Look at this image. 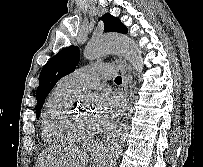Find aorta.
<instances>
[{
  "label": "aorta",
  "mask_w": 203,
  "mask_h": 167,
  "mask_svg": "<svg viewBox=\"0 0 203 167\" xmlns=\"http://www.w3.org/2000/svg\"><path fill=\"white\" fill-rule=\"evenodd\" d=\"M115 53L125 57L140 75L143 71L142 52L136 43L125 35L105 34L91 40L84 49V57L96 60L108 54ZM129 128L122 124L107 137L103 149L102 167H113L122 153L128 137Z\"/></svg>",
  "instance_id": "obj_1"
}]
</instances>
